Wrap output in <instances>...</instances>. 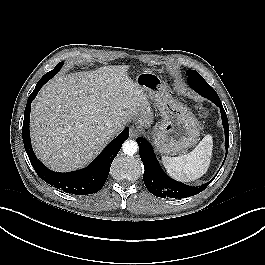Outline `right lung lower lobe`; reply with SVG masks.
Returning <instances> with one entry per match:
<instances>
[{
	"label": "right lung lower lobe",
	"mask_w": 265,
	"mask_h": 265,
	"mask_svg": "<svg viewBox=\"0 0 265 265\" xmlns=\"http://www.w3.org/2000/svg\"><path fill=\"white\" fill-rule=\"evenodd\" d=\"M51 78L52 75L45 74L38 81L34 91L28 98L22 128V137L26 153L38 176L51 186L59 188L66 193L76 195L96 193L105 184L113 159L121 149L123 142L129 137V129H124L86 168L67 173H58L49 170L37 159L33 152L30 141L29 120L32 101L41 87Z\"/></svg>",
	"instance_id": "98d812e1"
}]
</instances>
